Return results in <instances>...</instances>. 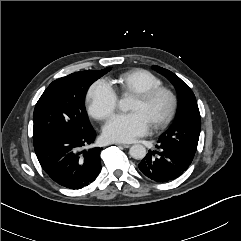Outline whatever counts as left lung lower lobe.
<instances>
[{
    "mask_svg": "<svg viewBox=\"0 0 241 241\" xmlns=\"http://www.w3.org/2000/svg\"><path fill=\"white\" fill-rule=\"evenodd\" d=\"M156 148V151L149 150L138 164L140 171L153 181H172L182 175L191 164V161L167 144L158 142Z\"/></svg>",
    "mask_w": 241,
    "mask_h": 241,
    "instance_id": "left-lung-lower-lobe-1",
    "label": "left lung lower lobe"
}]
</instances>
